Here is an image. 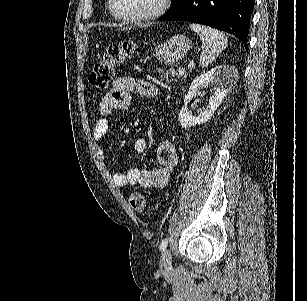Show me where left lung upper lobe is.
<instances>
[{"label": "left lung upper lobe", "instance_id": "5c2ea615", "mask_svg": "<svg viewBox=\"0 0 307 301\" xmlns=\"http://www.w3.org/2000/svg\"><path fill=\"white\" fill-rule=\"evenodd\" d=\"M181 0H174V3L172 4V7L178 4Z\"/></svg>", "mask_w": 307, "mask_h": 301}]
</instances>
